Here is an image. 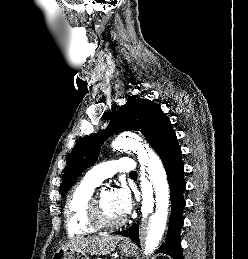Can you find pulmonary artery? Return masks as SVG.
<instances>
[{
    "label": "pulmonary artery",
    "instance_id": "pulmonary-artery-1",
    "mask_svg": "<svg viewBox=\"0 0 248 259\" xmlns=\"http://www.w3.org/2000/svg\"><path fill=\"white\" fill-rule=\"evenodd\" d=\"M133 171H136L134 160L123 157L94 166L86 173L85 178L96 184H100L104 179L113 176L117 172L131 173Z\"/></svg>",
    "mask_w": 248,
    "mask_h": 259
}]
</instances>
